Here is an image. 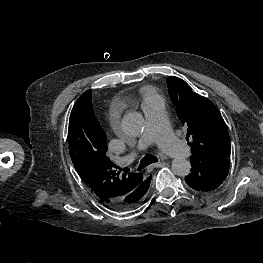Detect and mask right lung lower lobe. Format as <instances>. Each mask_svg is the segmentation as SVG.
Instances as JSON below:
<instances>
[{
	"label": "right lung lower lobe",
	"instance_id": "1",
	"mask_svg": "<svg viewBox=\"0 0 263 263\" xmlns=\"http://www.w3.org/2000/svg\"><path fill=\"white\" fill-rule=\"evenodd\" d=\"M150 181H151V177L148 178V182L145 184V188H144V192L146 193L148 188H149V185H150ZM144 193V195H145ZM112 209H115V210H123L122 206L120 205H114L111 207Z\"/></svg>",
	"mask_w": 263,
	"mask_h": 263
}]
</instances>
